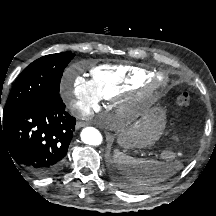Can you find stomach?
Listing matches in <instances>:
<instances>
[{
  "mask_svg": "<svg viewBox=\"0 0 216 216\" xmlns=\"http://www.w3.org/2000/svg\"><path fill=\"white\" fill-rule=\"evenodd\" d=\"M166 114L160 106L145 110L141 117L118 135V143L125 147H143L154 144L162 135Z\"/></svg>",
  "mask_w": 216,
  "mask_h": 216,
  "instance_id": "1",
  "label": "stomach"
}]
</instances>
